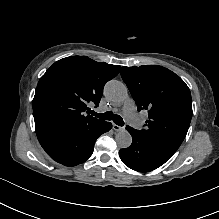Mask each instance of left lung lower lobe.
I'll return each mask as SVG.
<instances>
[{"mask_svg": "<svg viewBox=\"0 0 219 219\" xmlns=\"http://www.w3.org/2000/svg\"><path fill=\"white\" fill-rule=\"evenodd\" d=\"M126 129L132 136V144L128 148L121 149L119 156L129 168L139 172L151 171L160 167L172 157L163 149L148 143L142 135L129 126Z\"/></svg>", "mask_w": 219, "mask_h": 219, "instance_id": "left-lung-lower-lobe-1", "label": "left lung lower lobe"}]
</instances>
